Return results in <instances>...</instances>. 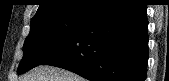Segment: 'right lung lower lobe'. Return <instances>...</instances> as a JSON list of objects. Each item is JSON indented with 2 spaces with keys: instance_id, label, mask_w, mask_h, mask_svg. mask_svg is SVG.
<instances>
[{
  "instance_id": "right-lung-lower-lobe-1",
  "label": "right lung lower lobe",
  "mask_w": 169,
  "mask_h": 81,
  "mask_svg": "<svg viewBox=\"0 0 169 81\" xmlns=\"http://www.w3.org/2000/svg\"><path fill=\"white\" fill-rule=\"evenodd\" d=\"M147 5L119 0L89 18L40 65L67 69L90 81H145L148 63Z\"/></svg>"
}]
</instances>
